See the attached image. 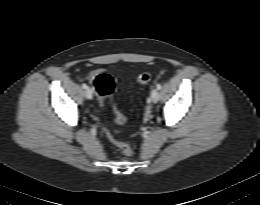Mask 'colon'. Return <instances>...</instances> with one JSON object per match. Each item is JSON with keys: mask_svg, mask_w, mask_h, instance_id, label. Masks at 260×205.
I'll list each match as a JSON object with an SVG mask.
<instances>
[{"mask_svg": "<svg viewBox=\"0 0 260 205\" xmlns=\"http://www.w3.org/2000/svg\"><path fill=\"white\" fill-rule=\"evenodd\" d=\"M151 79H152V74L148 71L141 72L137 77V81L140 84H147L151 81ZM93 84H94V88H95L97 94L102 99L110 100L116 90L115 79L111 75H109L103 71L97 73V75L94 78ZM112 108H113L115 120L117 123L123 124V123L127 122V118L123 114L119 113L116 110L114 105H112ZM105 132L109 136V138L113 141V143L124 154H126L128 156L132 155V149L126 142L116 138L106 127H105Z\"/></svg>", "mask_w": 260, "mask_h": 205, "instance_id": "1", "label": "colon"}]
</instances>
